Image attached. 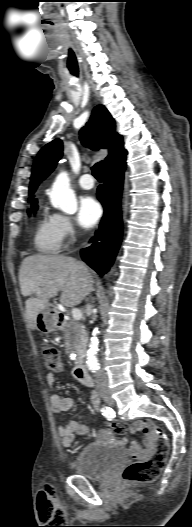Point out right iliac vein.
<instances>
[{"instance_id":"right-iliac-vein-1","label":"right iliac vein","mask_w":192,"mask_h":527,"mask_svg":"<svg viewBox=\"0 0 192 527\" xmlns=\"http://www.w3.org/2000/svg\"><path fill=\"white\" fill-rule=\"evenodd\" d=\"M102 397H103V399H104L108 404H110V405L113 404V400H112V398H111L109 392H103V393H102Z\"/></svg>"}]
</instances>
